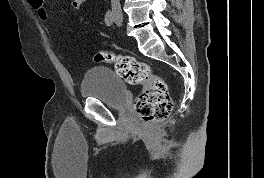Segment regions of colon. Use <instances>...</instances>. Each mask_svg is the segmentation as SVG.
Instances as JSON below:
<instances>
[{
  "label": "colon",
  "mask_w": 264,
  "mask_h": 178,
  "mask_svg": "<svg viewBox=\"0 0 264 178\" xmlns=\"http://www.w3.org/2000/svg\"><path fill=\"white\" fill-rule=\"evenodd\" d=\"M41 19L49 16L44 7V0H27ZM96 63L112 64L116 73L129 84H142L143 90L135 100V110L145 122L162 121L166 119L173 107L168 87L164 80L152 73L151 68L134 57L119 55L109 51H99L94 54Z\"/></svg>",
  "instance_id": "obj_1"
}]
</instances>
